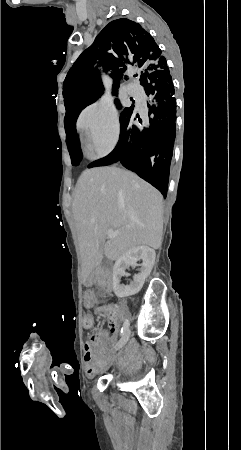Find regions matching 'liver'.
<instances>
[{
	"instance_id": "liver-1",
	"label": "liver",
	"mask_w": 241,
	"mask_h": 450,
	"mask_svg": "<svg viewBox=\"0 0 241 450\" xmlns=\"http://www.w3.org/2000/svg\"><path fill=\"white\" fill-rule=\"evenodd\" d=\"M162 202V194L133 172L120 168L82 172L73 194L72 210L84 282L100 266L103 254L108 260H118L137 246L160 248ZM108 230L118 232L116 238H108Z\"/></svg>"
}]
</instances>
